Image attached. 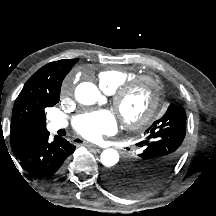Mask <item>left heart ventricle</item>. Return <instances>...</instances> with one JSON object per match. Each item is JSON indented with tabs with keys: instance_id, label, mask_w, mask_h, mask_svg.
Returning a JSON list of instances; mask_svg holds the SVG:
<instances>
[{
	"instance_id": "left-heart-ventricle-1",
	"label": "left heart ventricle",
	"mask_w": 216,
	"mask_h": 216,
	"mask_svg": "<svg viewBox=\"0 0 216 216\" xmlns=\"http://www.w3.org/2000/svg\"><path fill=\"white\" fill-rule=\"evenodd\" d=\"M151 99L150 86L146 83L132 90L124 99L123 112L127 117H137L142 114Z\"/></svg>"
}]
</instances>
